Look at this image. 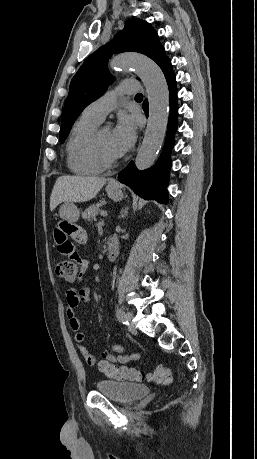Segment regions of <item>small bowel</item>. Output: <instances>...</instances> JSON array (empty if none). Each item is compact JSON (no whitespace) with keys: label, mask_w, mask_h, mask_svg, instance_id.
Listing matches in <instances>:
<instances>
[{"label":"small bowel","mask_w":257,"mask_h":459,"mask_svg":"<svg viewBox=\"0 0 257 459\" xmlns=\"http://www.w3.org/2000/svg\"><path fill=\"white\" fill-rule=\"evenodd\" d=\"M52 237L60 257L65 258L68 264H80L82 272H85L87 255H83L81 247L76 245L88 243L85 228L76 227L75 223H56ZM66 300V316L71 330L76 332L75 340L80 343L79 352L88 365L94 366L97 363V358L85 345L81 344L85 339V335L81 331V322L75 315L76 309L81 303H88L91 300V291L88 288L69 289L66 292ZM102 357L107 361L124 364L138 360L140 355L138 353L129 354L124 346L114 344L102 352Z\"/></svg>","instance_id":"1"}]
</instances>
